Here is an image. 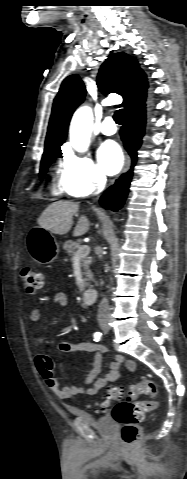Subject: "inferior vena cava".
Instances as JSON below:
<instances>
[{"label":"inferior vena cava","mask_w":187,"mask_h":479,"mask_svg":"<svg viewBox=\"0 0 187 479\" xmlns=\"http://www.w3.org/2000/svg\"><path fill=\"white\" fill-rule=\"evenodd\" d=\"M105 184V179L102 178L99 182V187H103ZM110 316V307H109V302H108V299L106 297H104L100 304H99V308H98V320H103V319H106Z\"/></svg>","instance_id":"1"}]
</instances>
